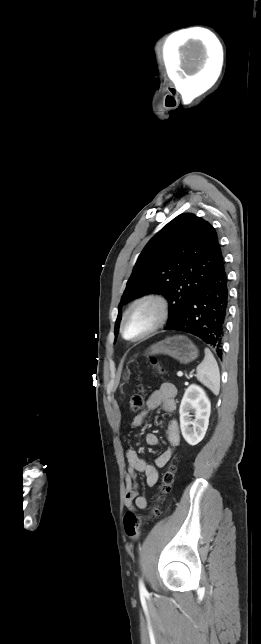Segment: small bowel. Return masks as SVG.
<instances>
[{"label": "small bowel", "instance_id": "c3829d8e", "mask_svg": "<svg viewBox=\"0 0 261 644\" xmlns=\"http://www.w3.org/2000/svg\"><path fill=\"white\" fill-rule=\"evenodd\" d=\"M176 395L177 389L173 384L163 383L159 389L153 391L149 396L146 403V409L133 419L131 426H141L149 411L158 407H161L165 413H174L176 410ZM166 435L169 446L165 451L157 456L155 465L148 464L136 453L135 450L129 449L127 451V472L125 475L124 499V503L127 508L131 510H143L147 507V498L144 495H140L138 492L137 474H143L146 484L150 487L154 486L158 482V468L164 467L169 462L174 450L180 443L179 426L175 419L169 421ZM146 442L150 446H157L159 444V438L155 433L150 432L146 434Z\"/></svg>", "mask_w": 261, "mask_h": 644}]
</instances>
